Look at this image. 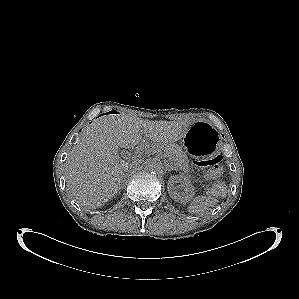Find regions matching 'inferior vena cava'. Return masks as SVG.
I'll use <instances>...</instances> for the list:
<instances>
[{"instance_id":"obj_1","label":"inferior vena cava","mask_w":299,"mask_h":299,"mask_svg":"<svg viewBox=\"0 0 299 299\" xmlns=\"http://www.w3.org/2000/svg\"><path fill=\"white\" fill-rule=\"evenodd\" d=\"M139 164V160H133L132 162H130L129 164V168H134Z\"/></svg>"}]
</instances>
